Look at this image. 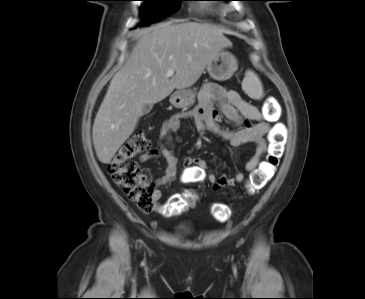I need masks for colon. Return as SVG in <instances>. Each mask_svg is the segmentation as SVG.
<instances>
[{"instance_id": "colon-1", "label": "colon", "mask_w": 365, "mask_h": 299, "mask_svg": "<svg viewBox=\"0 0 365 299\" xmlns=\"http://www.w3.org/2000/svg\"><path fill=\"white\" fill-rule=\"evenodd\" d=\"M277 113V107L269 102L264 113L272 119ZM286 130L283 124H277L269 135V147L265 161L249 177L246 190L249 194L262 189L273 177L284 151ZM149 148V141L144 130H137L116 152L108 164V173L114 183L124 190L129 199L143 212H151L156 206V185L142 173L133 158ZM193 193H185L172 197L163 207V213L168 216L178 215L187 211L195 202ZM212 216L218 221L230 217V210L223 204H215L211 208Z\"/></svg>"}]
</instances>
